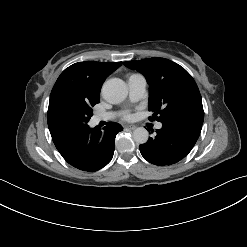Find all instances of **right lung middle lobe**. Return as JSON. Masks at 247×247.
Instances as JSON below:
<instances>
[{
	"mask_svg": "<svg viewBox=\"0 0 247 247\" xmlns=\"http://www.w3.org/2000/svg\"><path fill=\"white\" fill-rule=\"evenodd\" d=\"M97 103L70 96L57 99L47 113L51 136L62 137L86 128L93 115L92 107Z\"/></svg>",
	"mask_w": 247,
	"mask_h": 247,
	"instance_id": "1",
	"label": "right lung middle lobe"
}]
</instances>
